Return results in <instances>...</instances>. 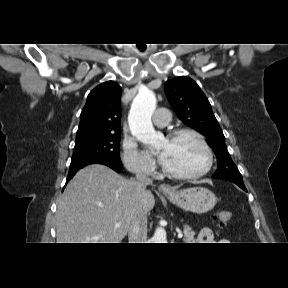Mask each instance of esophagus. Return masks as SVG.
<instances>
[{
    "instance_id": "1",
    "label": "esophagus",
    "mask_w": 288,
    "mask_h": 288,
    "mask_svg": "<svg viewBox=\"0 0 288 288\" xmlns=\"http://www.w3.org/2000/svg\"><path fill=\"white\" fill-rule=\"evenodd\" d=\"M159 191H161L164 194H171L174 192V189L168 184H161L159 186Z\"/></svg>"
}]
</instances>
